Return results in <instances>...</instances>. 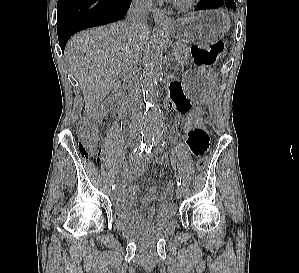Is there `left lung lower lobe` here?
I'll return each mask as SVG.
<instances>
[{
	"label": "left lung lower lobe",
	"instance_id": "0a47b994",
	"mask_svg": "<svg viewBox=\"0 0 299 273\" xmlns=\"http://www.w3.org/2000/svg\"><path fill=\"white\" fill-rule=\"evenodd\" d=\"M222 6L231 7L235 10L236 0H200V3L195 8V10L215 9Z\"/></svg>",
	"mask_w": 299,
	"mask_h": 273
}]
</instances>
